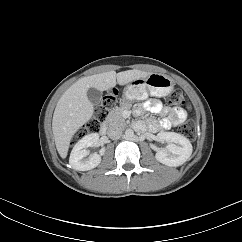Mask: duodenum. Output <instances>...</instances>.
<instances>
[{"label": "duodenum", "mask_w": 242, "mask_h": 242, "mask_svg": "<svg viewBox=\"0 0 242 242\" xmlns=\"http://www.w3.org/2000/svg\"><path fill=\"white\" fill-rule=\"evenodd\" d=\"M100 132H101L103 135H106V134H107V132H108V126H107L106 123H103V124L101 125Z\"/></svg>", "instance_id": "410a0bca"}]
</instances>
